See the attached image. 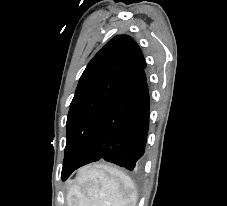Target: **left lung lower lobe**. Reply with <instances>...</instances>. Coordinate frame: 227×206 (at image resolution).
Returning a JSON list of instances; mask_svg holds the SVG:
<instances>
[{
	"mask_svg": "<svg viewBox=\"0 0 227 206\" xmlns=\"http://www.w3.org/2000/svg\"><path fill=\"white\" fill-rule=\"evenodd\" d=\"M144 69L111 100L81 160L62 171L63 181L74 170L100 159L129 170L136 167L145 152L149 127V91Z\"/></svg>",
	"mask_w": 227,
	"mask_h": 206,
	"instance_id": "left-lung-lower-lobe-1",
	"label": "left lung lower lobe"
}]
</instances>
